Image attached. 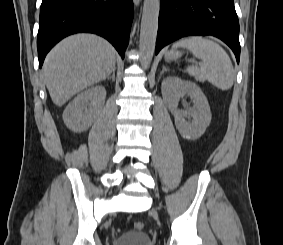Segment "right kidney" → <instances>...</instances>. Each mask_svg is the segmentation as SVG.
Here are the masks:
<instances>
[{
  "label": "right kidney",
  "instance_id": "obj_1",
  "mask_svg": "<svg viewBox=\"0 0 283 245\" xmlns=\"http://www.w3.org/2000/svg\"><path fill=\"white\" fill-rule=\"evenodd\" d=\"M106 97L103 86H95L77 95L63 112L66 126L74 132L86 131L102 109Z\"/></svg>",
  "mask_w": 283,
  "mask_h": 245
}]
</instances>
